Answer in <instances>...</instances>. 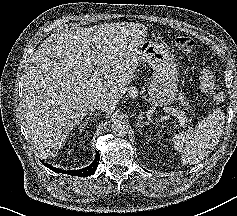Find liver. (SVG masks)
<instances>
[{
    "label": "liver",
    "instance_id": "obj_1",
    "mask_svg": "<svg viewBox=\"0 0 237 216\" xmlns=\"http://www.w3.org/2000/svg\"><path fill=\"white\" fill-rule=\"evenodd\" d=\"M110 29L72 26L40 45L21 80L20 103L25 129L39 150L57 151L94 99L117 104L136 76V68L121 61L116 39L107 37Z\"/></svg>",
    "mask_w": 237,
    "mask_h": 216
}]
</instances>
